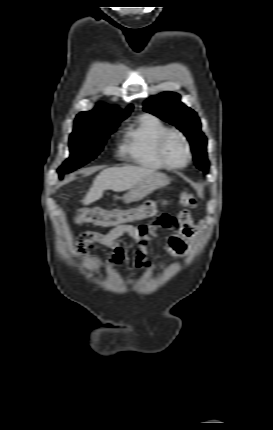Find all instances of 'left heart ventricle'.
I'll use <instances>...</instances> for the list:
<instances>
[{
	"instance_id": "left-heart-ventricle-1",
	"label": "left heart ventricle",
	"mask_w": 273,
	"mask_h": 430,
	"mask_svg": "<svg viewBox=\"0 0 273 430\" xmlns=\"http://www.w3.org/2000/svg\"><path fill=\"white\" fill-rule=\"evenodd\" d=\"M165 155L173 164H181L185 161L186 150L180 137L173 135L168 138L165 144Z\"/></svg>"
}]
</instances>
